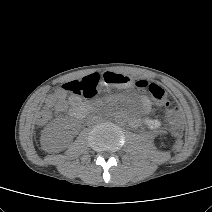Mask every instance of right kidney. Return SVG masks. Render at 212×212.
Segmentation results:
<instances>
[{
    "label": "right kidney",
    "mask_w": 212,
    "mask_h": 212,
    "mask_svg": "<svg viewBox=\"0 0 212 212\" xmlns=\"http://www.w3.org/2000/svg\"><path fill=\"white\" fill-rule=\"evenodd\" d=\"M61 135L57 131L48 130L45 138L43 139V145L55 144L59 141Z\"/></svg>",
    "instance_id": "ca27d5eb"
}]
</instances>
